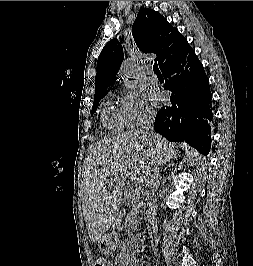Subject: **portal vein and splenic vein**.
Listing matches in <instances>:
<instances>
[{"instance_id": "18ae733b", "label": "portal vein and splenic vein", "mask_w": 253, "mask_h": 266, "mask_svg": "<svg viewBox=\"0 0 253 266\" xmlns=\"http://www.w3.org/2000/svg\"><path fill=\"white\" fill-rule=\"evenodd\" d=\"M132 192H133V194H136V193H138V189L135 187H132Z\"/></svg>"}]
</instances>
